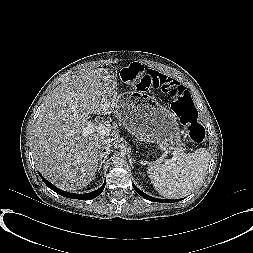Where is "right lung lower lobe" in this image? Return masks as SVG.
<instances>
[{"mask_svg":"<svg viewBox=\"0 0 253 253\" xmlns=\"http://www.w3.org/2000/svg\"><path fill=\"white\" fill-rule=\"evenodd\" d=\"M42 180L44 181V183L50 188L52 189L54 192L62 195V196H65V197H68V198H73V199H80V200H91L95 197H97L104 189L105 187V183L100 187L98 188L97 190L93 191V192H90L88 194H73V193H68V192H65V191H62L60 189H58L57 187H55L53 184H51L49 181H47L41 174H40Z\"/></svg>","mask_w":253,"mask_h":253,"instance_id":"1","label":"right lung lower lobe"}]
</instances>
